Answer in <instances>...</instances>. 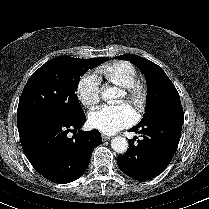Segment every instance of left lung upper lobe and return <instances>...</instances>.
Segmentation results:
<instances>
[{"label": "left lung upper lobe", "instance_id": "1", "mask_svg": "<svg viewBox=\"0 0 209 209\" xmlns=\"http://www.w3.org/2000/svg\"><path fill=\"white\" fill-rule=\"evenodd\" d=\"M117 57L133 62L142 70L147 80V109L138 124L146 123L159 116L183 114L180 96L160 66L133 54Z\"/></svg>", "mask_w": 209, "mask_h": 209}]
</instances>
